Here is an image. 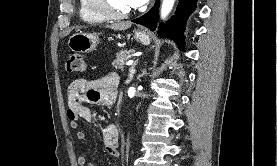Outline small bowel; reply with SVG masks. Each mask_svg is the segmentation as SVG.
Instances as JSON below:
<instances>
[{"label":"small bowel","mask_w":277,"mask_h":166,"mask_svg":"<svg viewBox=\"0 0 277 166\" xmlns=\"http://www.w3.org/2000/svg\"><path fill=\"white\" fill-rule=\"evenodd\" d=\"M119 77L114 73H108L95 80L76 79L68 87L67 116L70 127L77 130L76 139L80 142L86 140L84 131L78 130L81 120L94 121L91 106H110L117 97ZM105 150L113 157L119 156L120 134L115 124L107 123L102 128ZM80 166H98L89 160L84 153L79 154Z\"/></svg>","instance_id":"small-bowel-1"}]
</instances>
